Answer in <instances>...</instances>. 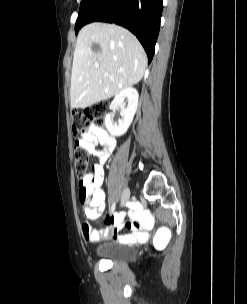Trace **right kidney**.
<instances>
[{"label":"right kidney","instance_id":"right-kidney-1","mask_svg":"<svg viewBox=\"0 0 247 304\" xmlns=\"http://www.w3.org/2000/svg\"><path fill=\"white\" fill-rule=\"evenodd\" d=\"M138 92L133 87L123 88L113 99L110 110L113 112L117 107H120L121 119L118 124L113 122V114H107L105 117V126L109 133L113 136L119 137L125 134L133 121V117L138 105ZM127 98V107L125 108L124 99Z\"/></svg>","mask_w":247,"mask_h":304}]
</instances>
